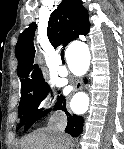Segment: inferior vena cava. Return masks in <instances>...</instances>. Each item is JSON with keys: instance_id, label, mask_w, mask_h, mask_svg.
Here are the masks:
<instances>
[{"instance_id": "1", "label": "inferior vena cava", "mask_w": 124, "mask_h": 149, "mask_svg": "<svg viewBox=\"0 0 124 149\" xmlns=\"http://www.w3.org/2000/svg\"><path fill=\"white\" fill-rule=\"evenodd\" d=\"M66 125H67L66 115L60 112L55 114L53 118V123L50 127L56 133V137H60L61 139H64V145L66 147H70L71 139H69V136H65L64 134V129Z\"/></svg>"}]
</instances>
